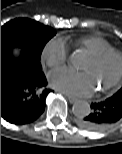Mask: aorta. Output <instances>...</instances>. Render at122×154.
Segmentation results:
<instances>
[{
    "label": "aorta",
    "mask_w": 122,
    "mask_h": 154,
    "mask_svg": "<svg viewBox=\"0 0 122 154\" xmlns=\"http://www.w3.org/2000/svg\"><path fill=\"white\" fill-rule=\"evenodd\" d=\"M76 60V54H72L70 56V63L74 65L76 63ZM72 111L75 116L82 118L90 113V105L87 101L79 100L73 104Z\"/></svg>",
    "instance_id": "762f6f07"
}]
</instances>
